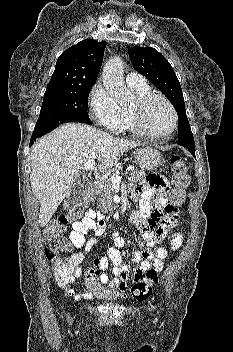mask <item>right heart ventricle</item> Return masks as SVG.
<instances>
[{"label":"right heart ventricle","mask_w":233,"mask_h":352,"mask_svg":"<svg viewBox=\"0 0 233 352\" xmlns=\"http://www.w3.org/2000/svg\"><path fill=\"white\" fill-rule=\"evenodd\" d=\"M130 89L137 96V98L145 96L150 93V89L147 85L141 88H130ZM121 131H130V132L136 133L132 123L130 109H123V124H122Z\"/></svg>","instance_id":"right-heart-ventricle-1"}]
</instances>
